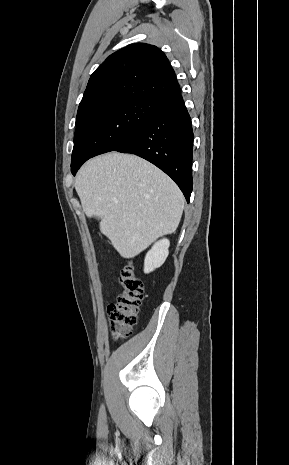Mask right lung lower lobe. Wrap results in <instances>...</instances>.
Returning <instances> with one entry per match:
<instances>
[{
  "mask_svg": "<svg viewBox=\"0 0 289 465\" xmlns=\"http://www.w3.org/2000/svg\"><path fill=\"white\" fill-rule=\"evenodd\" d=\"M114 150L136 154L159 167L176 182L189 202L193 187V130L180 93L159 103L154 116ZM85 161L71 168L73 175Z\"/></svg>",
  "mask_w": 289,
  "mask_h": 465,
  "instance_id": "right-lung-lower-lobe-1",
  "label": "right lung lower lobe"
}]
</instances>
